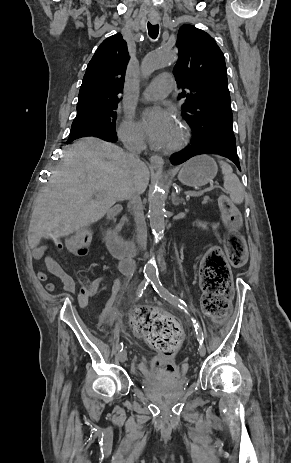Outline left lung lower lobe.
I'll use <instances>...</instances> for the list:
<instances>
[{
  "mask_svg": "<svg viewBox=\"0 0 291 463\" xmlns=\"http://www.w3.org/2000/svg\"><path fill=\"white\" fill-rule=\"evenodd\" d=\"M202 154H216L231 160L241 171L235 142L208 135H193L190 145L183 151L173 155L171 162L178 165L191 157Z\"/></svg>",
  "mask_w": 291,
  "mask_h": 463,
  "instance_id": "0a47b994",
  "label": "left lung lower lobe"
}]
</instances>
